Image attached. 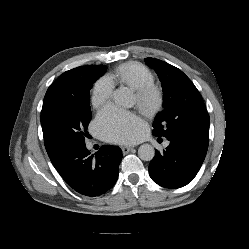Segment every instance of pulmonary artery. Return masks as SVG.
Masks as SVG:
<instances>
[{
	"mask_svg": "<svg viewBox=\"0 0 249 249\" xmlns=\"http://www.w3.org/2000/svg\"><path fill=\"white\" fill-rule=\"evenodd\" d=\"M168 144H169L168 142L165 143L166 146H167Z\"/></svg>",
	"mask_w": 249,
	"mask_h": 249,
	"instance_id": "e3ab8cb5",
	"label": "pulmonary artery"
}]
</instances>
